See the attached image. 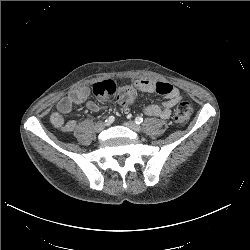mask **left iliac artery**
<instances>
[{
    "label": "left iliac artery",
    "mask_w": 250,
    "mask_h": 250,
    "mask_svg": "<svg viewBox=\"0 0 250 250\" xmlns=\"http://www.w3.org/2000/svg\"><path fill=\"white\" fill-rule=\"evenodd\" d=\"M135 122H136V124H141V123L143 122V118L140 117V116H137V117L135 118Z\"/></svg>",
    "instance_id": "1"
}]
</instances>
